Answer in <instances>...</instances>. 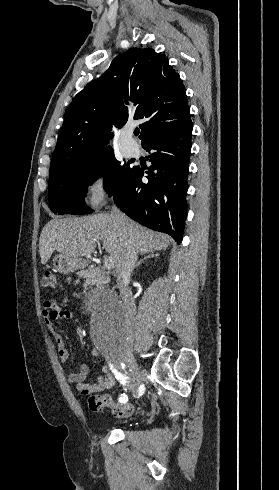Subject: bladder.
<instances>
[{
    "label": "bladder",
    "mask_w": 279,
    "mask_h": 490,
    "mask_svg": "<svg viewBox=\"0 0 279 490\" xmlns=\"http://www.w3.org/2000/svg\"><path fill=\"white\" fill-rule=\"evenodd\" d=\"M116 427H117V424H109V425H108V428H109V429H114V428H116Z\"/></svg>",
    "instance_id": "31cf9c89"
}]
</instances>
